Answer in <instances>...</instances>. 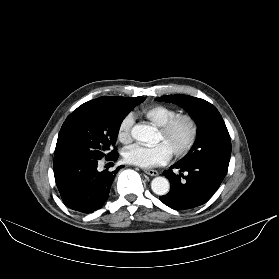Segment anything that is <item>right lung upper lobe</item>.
Instances as JSON below:
<instances>
[{
	"label": "right lung upper lobe",
	"mask_w": 279,
	"mask_h": 279,
	"mask_svg": "<svg viewBox=\"0 0 279 279\" xmlns=\"http://www.w3.org/2000/svg\"><path fill=\"white\" fill-rule=\"evenodd\" d=\"M135 98H125V97H112V96H102L100 98L88 101L84 104H82L81 106H79L75 111H78L82 108L88 107V106H92V105H96V104H103V103H108V102H124V101H133ZM74 111V112H75Z\"/></svg>",
	"instance_id": "right-lung-upper-lobe-1"
}]
</instances>
